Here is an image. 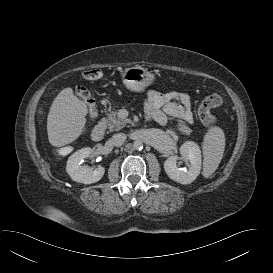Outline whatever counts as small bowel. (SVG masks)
Here are the masks:
<instances>
[{"instance_id":"1","label":"small bowel","mask_w":273,"mask_h":273,"mask_svg":"<svg viewBox=\"0 0 273 273\" xmlns=\"http://www.w3.org/2000/svg\"><path fill=\"white\" fill-rule=\"evenodd\" d=\"M146 114L148 119L154 120L160 125H166L168 117L186 123H192L194 119L191 98L181 92H149Z\"/></svg>"}]
</instances>
